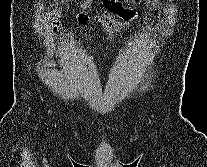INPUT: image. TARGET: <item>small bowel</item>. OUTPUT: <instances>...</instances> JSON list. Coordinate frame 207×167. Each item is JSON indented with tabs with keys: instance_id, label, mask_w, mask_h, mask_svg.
Segmentation results:
<instances>
[{
	"instance_id": "c3829d8e",
	"label": "small bowel",
	"mask_w": 207,
	"mask_h": 167,
	"mask_svg": "<svg viewBox=\"0 0 207 167\" xmlns=\"http://www.w3.org/2000/svg\"><path fill=\"white\" fill-rule=\"evenodd\" d=\"M106 10L90 18L85 12L91 4V0H83L80 5L82 13L78 16L79 23L86 24L91 21L99 23L107 36L113 38L120 31H124L130 27V20L136 17L134 11L124 9L119 0H102ZM91 37L89 34H85Z\"/></svg>"
}]
</instances>
